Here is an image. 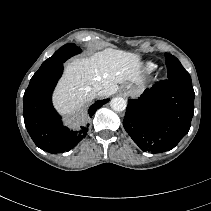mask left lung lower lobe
I'll return each mask as SVG.
<instances>
[{"instance_id": "obj_1", "label": "left lung lower lobe", "mask_w": 211, "mask_h": 211, "mask_svg": "<svg viewBox=\"0 0 211 211\" xmlns=\"http://www.w3.org/2000/svg\"><path fill=\"white\" fill-rule=\"evenodd\" d=\"M194 96L191 81H160L128 101L123 126L143 151H169L190 129Z\"/></svg>"}]
</instances>
